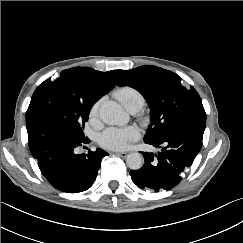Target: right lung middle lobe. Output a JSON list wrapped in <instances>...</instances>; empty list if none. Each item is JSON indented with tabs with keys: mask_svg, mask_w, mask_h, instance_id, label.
<instances>
[{
	"mask_svg": "<svg viewBox=\"0 0 243 243\" xmlns=\"http://www.w3.org/2000/svg\"><path fill=\"white\" fill-rule=\"evenodd\" d=\"M92 104L70 94L63 84L50 78L41 83L31 98L26 118L47 116L63 123L75 134L84 137V125Z\"/></svg>",
	"mask_w": 243,
	"mask_h": 243,
	"instance_id": "dd1d6c3e",
	"label": "right lung middle lobe"
}]
</instances>
